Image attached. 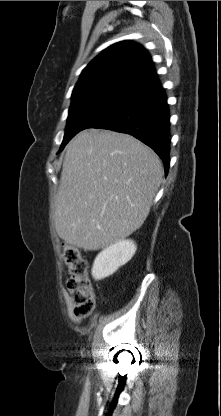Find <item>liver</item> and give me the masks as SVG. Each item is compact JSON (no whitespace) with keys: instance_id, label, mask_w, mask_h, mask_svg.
I'll return each mask as SVG.
<instances>
[{"instance_id":"obj_1","label":"liver","mask_w":221,"mask_h":416,"mask_svg":"<svg viewBox=\"0 0 221 416\" xmlns=\"http://www.w3.org/2000/svg\"><path fill=\"white\" fill-rule=\"evenodd\" d=\"M164 171L135 137L89 129L68 144L54 223L66 243L98 250L131 235L149 215Z\"/></svg>"}]
</instances>
